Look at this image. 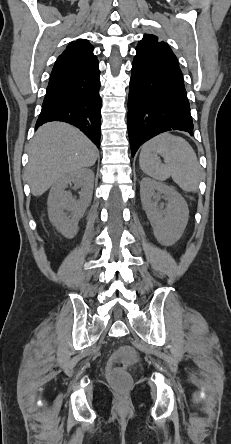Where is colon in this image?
I'll return each instance as SVG.
<instances>
[{
	"instance_id": "1",
	"label": "colon",
	"mask_w": 231,
	"mask_h": 444,
	"mask_svg": "<svg viewBox=\"0 0 231 444\" xmlns=\"http://www.w3.org/2000/svg\"><path fill=\"white\" fill-rule=\"evenodd\" d=\"M135 360V352L130 346H122L109 359L107 376L111 384L117 389H126L131 384L127 367Z\"/></svg>"
}]
</instances>
